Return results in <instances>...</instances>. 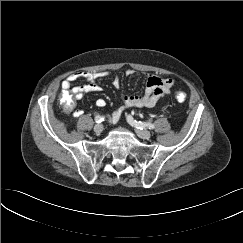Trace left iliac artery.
<instances>
[{
  "label": "left iliac artery",
  "instance_id": "44dca946",
  "mask_svg": "<svg viewBox=\"0 0 243 243\" xmlns=\"http://www.w3.org/2000/svg\"><path fill=\"white\" fill-rule=\"evenodd\" d=\"M127 119H128V122L130 124L136 126V128H138L140 130L145 129V128H148L150 130L154 129V125L153 124L147 123V122L136 121L130 115L127 117Z\"/></svg>",
  "mask_w": 243,
  "mask_h": 243
}]
</instances>
